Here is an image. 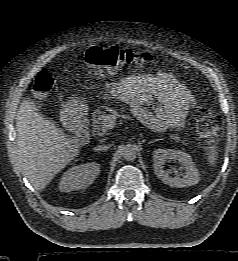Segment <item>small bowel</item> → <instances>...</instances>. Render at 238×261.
<instances>
[{"instance_id": "1", "label": "small bowel", "mask_w": 238, "mask_h": 261, "mask_svg": "<svg viewBox=\"0 0 238 261\" xmlns=\"http://www.w3.org/2000/svg\"><path fill=\"white\" fill-rule=\"evenodd\" d=\"M105 99L129 104L139 120L156 131L183 127L195 98L171 74L129 75L107 82L100 93Z\"/></svg>"}]
</instances>
